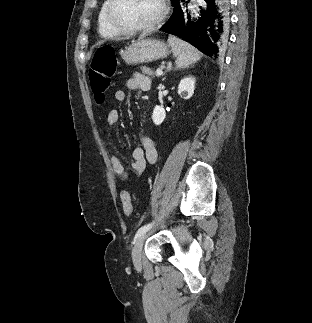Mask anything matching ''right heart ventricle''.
Instances as JSON below:
<instances>
[{
  "mask_svg": "<svg viewBox=\"0 0 312 323\" xmlns=\"http://www.w3.org/2000/svg\"><path fill=\"white\" fill-rule=\"evenodd\" d=\"M109 10V5H98L96 12L93 13L97 33H115L118 25L117 22H113Z\"/></svg>",
  "mask_w": 312,
  "mask_h": 323,
  "instance_id": "right-heart-ventricle-1",
  "label": "right heart ventricle"
}]
</instances>
